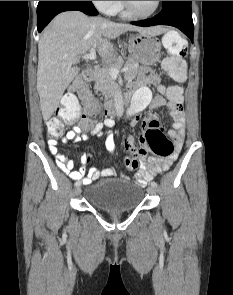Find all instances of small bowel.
<instances>
[{"label":"small bowel","instance_id":"1","mask_svg":"<svg viewBox=\"0 0 233 295\" xmlns=\"http://www.w3.org/2000/svg\"><path fill=\"white\" fill-rule=\"evenodd\" d=\"M157 77L149 68H142L139 76V83L137 84V91L133 97L131 105V124H136L141 119L142 111L149 106L152 109H161L166 106L169 110V114L173 120L172 129L169 131V137L174 144L173 152L164 157L150 156L141 162L139 171L135 175V181L139 185H146L149 181L156 177L158 174L166 172L176 160L180 149L182 148L184 136H185V118L183 112V96L182 93L176 97L169 96L163 92L161 86L159 87L160 94L152 96L147 84L157 82ZM85 109L90 106H96L94 97L89 94L86 97L81 98ZM114 120L112 118H105L103 121L97 123H89L85 120H81L73 129L69 130L62 138L63 143L73 141L75 143L81 141H87L92 137H101L104 128H111L114 126ZM143 129L146 128H158L164 130L160 124L158 118L154 114H147L144 117ZM143 135H141L142 137ZM49 151L55 157L56 163L59 168L69 174L72 179H82L84 184H89L92 180H97L101 177H111L116 174L113 168H105L99 170L97 168H90L85 176L86 166L91 161L92 155L90 153H84L81 155L82 166L78 170H74V161L68 156L59 153L57 147V141L50 139L48 141ZM125 146L133 151L136 147L134 140L131 138L125 139ZM105 147L110 154L115 152V140L112 133H107L105 140Z\"/></svg>","mask_w":233,"mask_h":295}]
</instances>
